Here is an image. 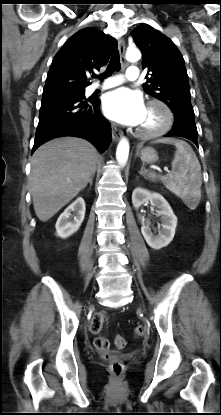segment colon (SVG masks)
<instances>
[{
	"instance_id": "colon-1",
	"label": "colon",
	"mask_w": 221,
	"mask_h": 415,
	"mask_svg": "<svg viewBox=\"0 0 221 415\" xmlns=\"http://www.w3.org/2000/svg\"><path fill=\"white\" fill-rule=\"evenodd\" d=\"M105 318H106V313H104V312H98V313L94 314V316L91 319L90 326H89L90 331L93 332V333H99L102 330L103 322H104ZM147 331H148L147 326L143 323L138 324L135 327V335L138 336V337L146 336ZM94 344H95V347L99 351H102V352L108 350V348L110 346L109 340L105 337H102V336L97 337L94 341ZM114 344L118 348H124L125 345H126V340L123 336L117 335L114 338ZM109 369H110L112 375L115 378L118 379V378H120V376L123 373L124 365L120 360H118L116 358H112L110 360V363H109Z\"/></svg>"
}]
</instances>
